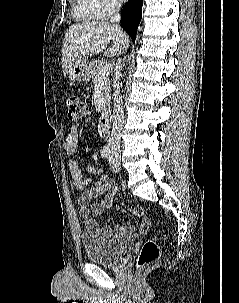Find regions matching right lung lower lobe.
Segmentation results:
<instances>
[{"mask_svg":"<svg viewBox=\"0 0 239 303\" xmlns=\"http://www.w3.org/2000/svg\"><path fill=\"white\" fill-rule=\"evenodd\" d=\"M142 5L143 0H129L122 10L121 25L134 42L142 18Z\"/></svg>","mask_w":239,"mask_h":303,"instance_id":"98d812e1","label":"right lung lower lobe"}]
</instances>
